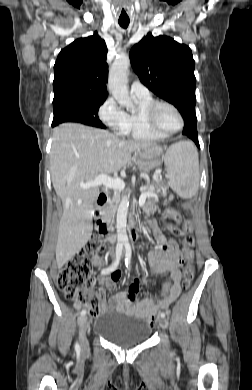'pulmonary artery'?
<instances>
[{
	"instance_id": "obj_1",
	"label": "pulmonary artery",
	"mask_w": 252,
	"mask_h": 390,
	"mask_svg": "<svg viewBox=\"0 0 252 390\" xmlns=\"http://www.w3.org/2000/svg\"><path fill=\"white\" fill-rule=\"evenodd\" d=\"M131 94L137 98H146L150 96V92L146 86L139 81H133L130 86Z\"/></svg>"
}]
</instances>
